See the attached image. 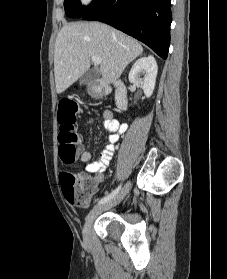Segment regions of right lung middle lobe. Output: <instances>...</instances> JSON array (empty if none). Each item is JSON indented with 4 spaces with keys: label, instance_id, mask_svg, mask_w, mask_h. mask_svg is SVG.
I'll use <instances>...</instances> for the list:
<instances>
[{
    "label": "right lung middle lobe",
    "instance_id": "1",
    "mask_svg": "<svg viewBox=\"0 0 227 279\" xmlns=\"http://www.w3.org/2000/svg\"><path fill=\"white\" fill-rule=\"evenodd\" d=\"M89 7L82 6L79 0H64L65 14L67 17H82Z\"/></svg>",
    "mask_w": 227,
    "mask_h": 279
}]
</instances>
